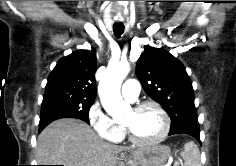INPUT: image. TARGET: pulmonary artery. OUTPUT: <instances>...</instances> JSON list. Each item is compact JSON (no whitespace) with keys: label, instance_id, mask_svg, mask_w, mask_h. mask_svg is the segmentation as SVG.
Wrapping results in <instances>:
<instances>
[{"label":"pulmonary artery","instance_id":"pulmonary-artery-1","mask_svg":"<svg viewBox=\"0 0 236 166\" xmlns=\"http://www.w3.org/2000/svg\"><path fill=\"white\" fill-rule=\"evenodd\" d=\"M140 83L136 79L127 80L121 90L122 96L130 102L135 101L139 96Z\"/></svg>","mask_w":236,"mask_h":166}]
</instances>
